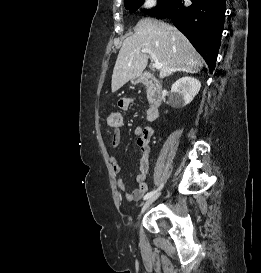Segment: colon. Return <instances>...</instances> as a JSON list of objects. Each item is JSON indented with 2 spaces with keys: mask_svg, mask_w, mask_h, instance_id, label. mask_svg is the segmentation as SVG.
I'll return each mask as SVG.
<instances>
[{
  "mask_svg": "<svg viewBox=\"0 0 261 273\" xmlns=\"http://www.w3.org/2000/svg\"><path fill=\"white\" fill-rule=\"evenodd\" d=\"M107 123L112 127H119L122 124V113L119 110L110 112L107 116Z\"/></svg>",
  "mask_w": 261,
  "mask_h": 273,
  "instance_id": "1",
  "label": "colon"
}]
</instances>
